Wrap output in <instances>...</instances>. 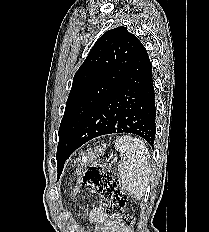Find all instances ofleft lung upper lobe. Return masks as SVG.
I'll list each match as a JSON object with an SVG mask.
<instances>
[{
  "label": "left lung upper lobe",
  "mask_w": 209,
  "mask_h": 232,
  "mask_svg": "<svg viewBox=\"0 0 209 232\" xmlns=\"http://www.w3.org/2000/svg\"><path fill=\"white\" fill-rule=\"evenodd\" d=\"M140 44L124 26L108 30L97 40L76 72L58 132V175L70 156L76 131L124 78Z\"/></svg>",
  "instance_id": "obj_1"
}]
</instances>
